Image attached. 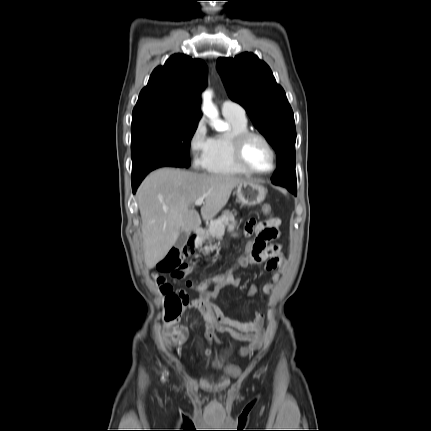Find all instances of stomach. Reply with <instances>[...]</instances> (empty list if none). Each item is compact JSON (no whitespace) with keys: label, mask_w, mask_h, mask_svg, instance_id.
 Returning a JSON list of instances; mask_svg holds the SVG:
<instances>
[{"label":"stomach","mask_w":431,"mask_h":431,"mask_svg":"<svg viewBox=\"0 0 431 431\" xmlns=\"http://www.w3.org/2000/svg\"><path fill=\"white\" fill-rule=\"evenodd\" d=\"M236 196L239 203L247 206H255L264 201L266 189L254 181L247 180L237 186ZM236 226L237 221L235 219L229 221L227 224V230L232 233V236H237L234 233Z\"/></svg>","instance_id":"obj_1"}]
</instances>
